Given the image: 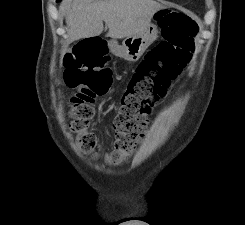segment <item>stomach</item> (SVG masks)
<instances>
[{"label": "stomach", "mask_w": 245, "mask_h": 225, "mask_svg": "<svg viewBox=\"0 0 245 225\" xmlns=\"http://www.w3.org/2000/svg\"><path fill=\"white\" fill-rule=\"evenodd\" d=\"M158 10L153 18L156 17ZM157 25L150 23L142 32L137 35L126 37L119 45L117 41L110 42V47L114 55L129 62H136L143 55L145 50L157 39Z\"/></svg>", "instance_id": "0dacf381"}]
</instances>
